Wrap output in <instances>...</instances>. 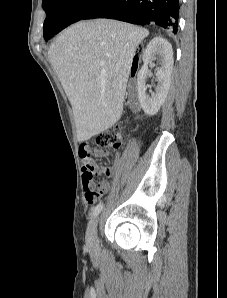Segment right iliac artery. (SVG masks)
Wrapping results in <instances>:
<instances>
[{
  "label": "right iliac artery",
  "instance_id": "1",
  "mask_svg": "<svg viewBox=\"0 0 227 298\" xmlns=\"http://www.w3.org/2000/svg\"><path fill=\"white\" fill-rule=\"evenodd\" d=\"M103 208V203H99L93 210V216L96 217L102 210Z\"/></svg>",
  "mask_w": 227,
  "mask_h": 298
}]
</instances>
